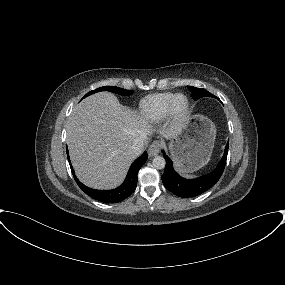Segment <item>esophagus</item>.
<instances>
[{
    "mask_svg": "<svg viewBox=\"0 0 285 285\" xmlns=\"http://www.w3.org/2000/svg\"><path fill=\"white\" fill-rule=\"evenodd\" d=\"M162 144L159 141H154L152 144L149 146L148 153L149 156H156L159 154L161 150Z\"/></svg>",
    "mask_w": 285,
    "mask_h": 285,
    "instance_id": "1",
    "label": "esophagus"
}]
</instances>
